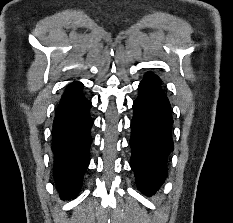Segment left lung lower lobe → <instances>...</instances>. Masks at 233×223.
<instances>
[{"label": "left lung lower lobe", "mask_w": 233, "mask_h": 223, "mask_svg": "<svg viewBox=\"0 0 233 223\" xmlns=\"http://www.w3.org/2000/svg\"><path fill=\"white\" fill-rule=\"evenodd\" d=\"M133 110L130 165L138 188L150 195L163 183L167 175V158L174 149L171 108L158 76L145 74L139 84V95L133 103Z\"/></svg>", "instance_id": "1"}]
</instances>
